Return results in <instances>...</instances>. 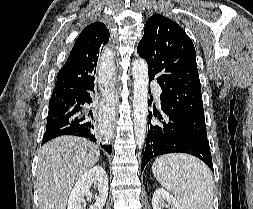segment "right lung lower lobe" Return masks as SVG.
Wrapping results in <instances>:
<instances>
[{
  "label": "right lung lower lobe",
  "mask_w": 253,
  "mask_h": 209,
  "mask_svg": "<svg viewBox=\"0 0 253 209\" xmlns=\"http://www.w3.org/2000/svg\"><path fill=\"white\" fill-rule=\"evenodd\" d=\"M92 92L94 93V87L89 88L87 91L70 100L57 99L50 101L49 118L42 144L63 135L80 136L95 143L103 141L104 138L95 120L90 118V116L93 117L92 113L86 114L83 110L84 104L92 103ZM55 111L61 114L58 116L53 115ZM101 146L109 154L112 152L111 146L104 144H101Z\"/></svg>",
  "instance_id": "right-lung-lower-lobe-1"
}]
</instances>
